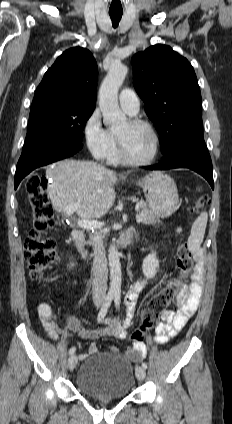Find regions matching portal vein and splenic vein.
Instances as JSON below:
<instances>
[{"label":"portal vein and splenic vein","instance_id":"obj_1","mask_svg":"<svg viewBox=\"0 0 232 424\" xmlns=\"http://www.w3.org/2000/svg\"><path fill=\"white\" fill-rule=\"evenodd\" d=\"M80 204L74 203L66 207L65 213L67 215H71L74 213L78 208ZM136 221L140 223L142 221V217L140 215L136 216ZM78 226L83 229H93V228H101L104 225V222L101 221H95V220H87V219H80L77 222Z\"/></svg>","mask_w":232,"mask_h":424}]
</instances>
